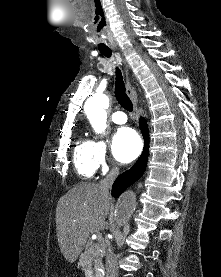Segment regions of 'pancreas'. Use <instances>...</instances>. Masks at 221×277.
I'll return each mask as SVG.
<instances>
[{"label": "pancreas", "mask_w": 221, "mask_h": 277, "mask_svg": "<svg viewBox=\"0 0 221 277\" xmlns=\"http://www.w3.org/2000/svg\"><path fill=\"white\" fill-rule=\"evenodd\" d=\"M104 243L95 244L87 248L81 254L78 266L85 272L90 273V277H103L104 266L102 263V256L104 250ZM95 272V274H93Z\"/></svg>", "instance_id": "cf45deb5"}]
</instances>
